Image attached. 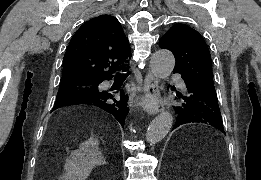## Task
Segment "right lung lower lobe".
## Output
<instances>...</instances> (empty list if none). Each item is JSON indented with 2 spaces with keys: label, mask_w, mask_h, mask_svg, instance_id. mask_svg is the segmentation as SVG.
<instances>
[{
  "label": "right lung lower lobe",
  "mask_w": 261,
  "mask_h": 180,
  "mask_svg": "<svg viewBox=\"0 0 261 180\" xmlns=\"http://www.w3.org/2000/svg\"><path fill=\"white\" fill-rule=\"evenodd\" d=\"M71 104H90V105L99 106L100 108L112 114L121 124V126L124 125L125 118L128 113L127 96L124 95L122 92L120 93L119 100H116L112 94L105 91L97 92L93 95H87V94L73 95L63 99L60 102H57L53 110Z\"/></svg>",
  "instance_id": "obj_1"
}]
</instances>
